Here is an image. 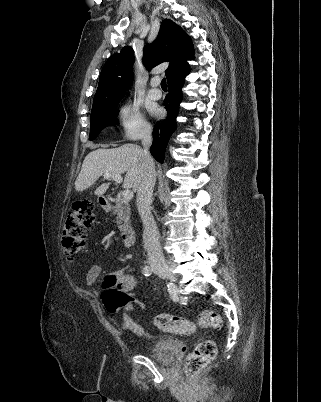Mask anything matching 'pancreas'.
<instances>
[{
	"instance_id": "obj_1",
	"label": "pancreas",
	"mask_w": 321,
	"mask_h": 402,
	"mask_svg": "<svg viewBox=\"0 0 321 402\" xmlns=\"http://www.w3.org/2000/svg\"><path fill=\"white\" fill-rule=\"evenodd\" d=\"M114 214L117 215L118 222H129L130 220V207L125 199H121L115 206Z\"/></svg>"
}]
</instances>
